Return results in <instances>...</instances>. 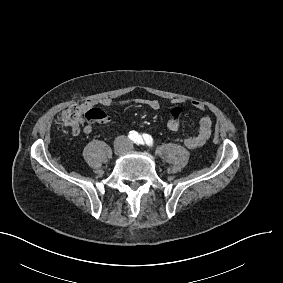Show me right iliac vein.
Returning a JSON list of instances; mask_svg holds the SVG:
<instances>
[{"label":"right iliac vein","mask_w":283,"mask_h":283,"mask_svg":"<svg viewBox=\"0 0 283 283\" xmlns=\"http://www.w3.org/2000/svg\"><path fill=\"white\" fill-rule=\"evenodd\" d=\"M127 150V145H124L123 143H118L115 146V153L117 155H122Z\"/></svg>","instance_id":"right-iliac-vein-1"}]
</instances>
